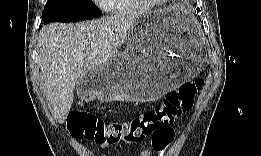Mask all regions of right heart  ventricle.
<instances>
[{"mask_svg": "<svg viewBox=\"0 0 261 156\" xmlns=\"http://www.w3.org/2000/svg\"><path fill=\"white\" fill-rule=\"evenodd\" d=\"M126 2V0H109V5L111 9L121 11L130 7L128 4H126Z\"/></svg>", "mask_w": 261, "mask_h": 156, "instance_id": "e07e8e85", "label": "right heart ventricle"}]
</instances>
